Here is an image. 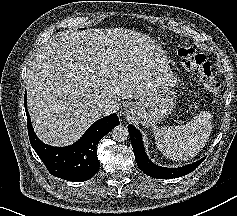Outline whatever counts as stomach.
<instances>
[{"instance_id": "obj_1", "label": "stomach", "mask_w": 237, "mask_h": 216, "mask_svg": "<svg viewBox=\"0 0 237 216\" xmlns=\"http://www.w3.org/2000/svg\"><path fill=\"white\" fill-rule=\"evenodd\" d=\"M175 93L165 85H156L148 94L133 103L129 115L143 126H154L166 117L174 107Z\"/></svg>"}]
</instances>
